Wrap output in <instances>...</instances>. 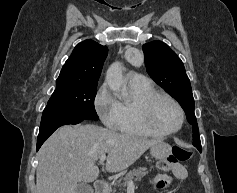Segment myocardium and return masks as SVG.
Masks as SVG:
<instances>
[{
    "label": "myocardium",
    "instance_id": "f54148a6",
    "mask_svg": "<svg viewBox=\"0 0 237 193\" xmlns=\"http://www.w3.org/2000/svg\"><path fill=\"white\" fill-rule=\"evenodd\" d=\"M161 99L169 100L176 106V108L179 111L180 123H179L178 127L173 130L159 129L152 122V111H153L156 103ZM137 116H138L139 124L145 130L149 131L150 133H152L154 135H158V136H166V135H171V134L177 133L178 131H180L182 129L184 122H185V112H184L182 106L180 105V103L175 98H173L172 96L165 94V93H155L152 96H150L149 98H147L146 100H144L143 102H141L138 106Z\"/></svg>",
    "mask_w": 237,
    "mask_h": 193
}]
</instances>
